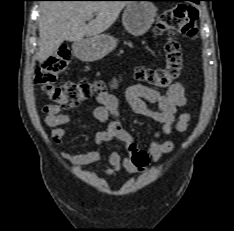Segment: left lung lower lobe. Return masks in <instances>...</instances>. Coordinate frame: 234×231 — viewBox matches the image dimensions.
Returning <instances> with one entry per match:
<instances>
[{
    "label": "left lung lower lobe",
    "instance_id": "0a47b994",
    "mask_svg": "<svg viewBox=\"0 0 234 231\" xmlns=\"http://www.w3.org/2000/svg\"><path fill=\"white\" fill-rule=\"evenodd\" d=\"M151 1H157V0H151ZM187 1H192V2H195V3H199V1H202V0H187Z\"/></svg>",
    "mask_w": 234,
    "mask_h": 231
}]
</instances>
